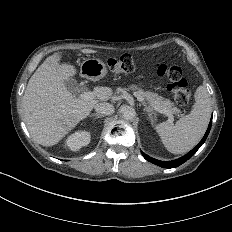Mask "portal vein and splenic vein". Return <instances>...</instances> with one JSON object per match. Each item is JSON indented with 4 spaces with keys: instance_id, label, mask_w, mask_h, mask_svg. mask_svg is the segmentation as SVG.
<instances>
[{
    "instance_id": "obj_1",
    "label": "portal vein and splenic vein",
    "mask_w": 232,
    "mask_h": 232,
    "mask_svg": "<svg viewBox=\"0 0 232 232\" xmlns=\"http://www.w3.org/2000/svg\"><path fill=\"white\" fill-rule=\"evenodd\" d=\"M93 96H94V94L92 93V92H82V93H80V94H78V98H82V99H91V98H93ZM137 99H138V101H140V102H147L146 101V99L145 98H143L142 96H138L137 97ZM155 111H157V112H161V113H163V111L162 110H160L157 106H155V105H150ZM165 115H167V116H171L172 114L171 113H164ZM171 122H173V120L171 119L170 120Z\"/></svg>"
}]
</instances>
